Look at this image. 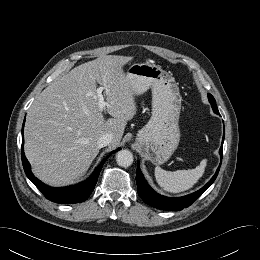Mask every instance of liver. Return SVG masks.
<instances>
[{"label":"liver","mask_w":260,"mask_h":260,"mask_svg":"<svg viewBox=\"0 0 260 260\" xmlns=\"http://www.w3.org/2000/svg\"><path fill=\"white\" fill-rule=\"evenodd\" d=\"M133 57L106 55L81 64L52 82L34 100L24 129L25 155L34 175L51 186L78 181L98 155L99 137L113 135L116 147L137 111L123 66ZM104 88V119L96 97Z\"/></svg>","instance_id":"1"}]
</instances>
